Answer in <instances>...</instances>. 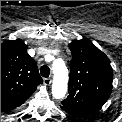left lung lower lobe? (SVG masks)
<instances>
[{
    "label": "left lung lower lobe",
    "mask_w": 122,
    "mask_h": 122,
    "mask_svg": "<svg viewBox=\"0 0 122 122\" xmlns=\"http://www.w3.org/2000/svg\"><path fill=\"white\" fill-rule=\"evenodd\" d=\"M64 111H66L67 113H69V114H71V115H73V116H76V117H80V118H83V116H81V115H79V114H77V113H75V112H73V111H70V110H68L67 108H65V107H61Z\"/></svg>",
    "instance_id": "obj_1"
}]
</instances>
